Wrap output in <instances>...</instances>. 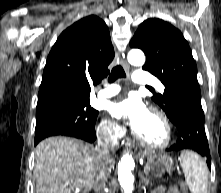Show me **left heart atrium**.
<instances>
[{
    "label": "left heart atrium",
    "mask_w": 221,
    "mask_h": 193,
    "mask_svg": "<svg viewBox=\"0 0 221 193\" xmlns=\"http://www.w3.org/2000/svg\"><path fill=\"white\" fill-rule=\"evenodd\" d=\"M109 110L112 116L125 120L134 130L138 129L149 112L143 101L136 96H129L111 103Z\"/></svg>",
    "instance_id": "1"
}]
</instances>
